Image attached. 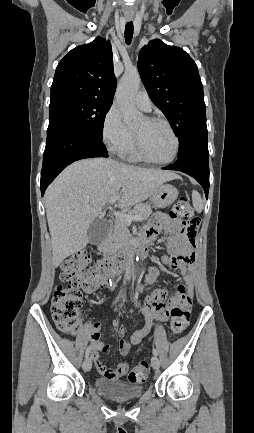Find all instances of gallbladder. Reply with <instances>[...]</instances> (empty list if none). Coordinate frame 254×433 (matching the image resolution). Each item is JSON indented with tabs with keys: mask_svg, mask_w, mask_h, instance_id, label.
Instances as JSON below:
<instances>
[{
	"mask_svg": "<svg viewBox=\"0 0 254 433\" xmlns=\"http://www.w3.org/2000/svg\"><path fill=\"white\" fill-rule=\"evenodd\" d=\"M109 232V224L106 220L96 218L90 224L87 236L90 244H99L101 243L107 236Z\"/></svg>",
	"mask_w": 254,
	"mask_h": 433,
	"instance_id": "obj_1",
	"label": "gallbladder"
}]
</instances>
